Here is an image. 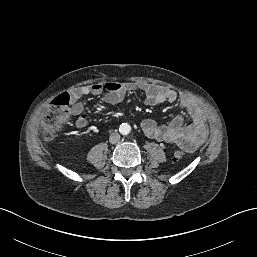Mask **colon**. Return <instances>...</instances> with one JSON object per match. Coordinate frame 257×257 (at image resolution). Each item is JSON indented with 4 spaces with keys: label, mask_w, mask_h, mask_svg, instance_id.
Wrapping results in <instances>:
<instances>
[{
    "label": "colon",
    "mask_w": 257,
    "mask_h": 257,
    "mask_svg": "<svg viewBox=\"0 0 257 257\" xmlns=\"http://www.w3.org/2000/svg\"><path fill=\"white\" fill-rule=\"evenodd\" d=\"M70 117V95L63 92L57 95L43 113L41 120L42 135L45 140H52L55 133ZM185 156L184 150H177L173 154L174 161H180Z\"/></svg>",
    "instance_id": "obj_1"
}]
</instances>
